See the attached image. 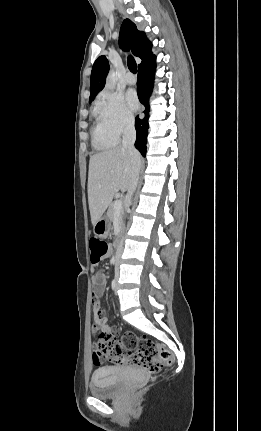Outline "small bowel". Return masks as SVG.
I'll use <instances>...</instances> for the list:
<instances>
[{
  "label": "small bowel",
  "instance_id": "small-bowel-1",
  "mask_svg": "<svg viewBox=\"0 0 261 431\" xmlns=\"http://www.w3.org/2000/svg\"><path fill=\"white\" fill-rule=\"evenodd\" d=\"M106 283V276L103 272H96L93 276V284L95 286V289L92 291V299L91 304L93 306L92 316L94 318V323L92 326V331L94 333L101 332L104 334H114L116 333V330L111 328L108 324L107 319L105 318V312L101 311L102 309V300H103V291ZM99 360L97 356H95L94 361L96 362Z\"/></svg>",
  "mask_w": 261,
  "mask_h": 431
}]
</instances>
